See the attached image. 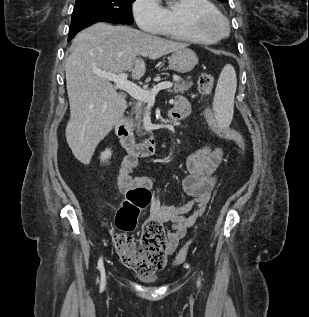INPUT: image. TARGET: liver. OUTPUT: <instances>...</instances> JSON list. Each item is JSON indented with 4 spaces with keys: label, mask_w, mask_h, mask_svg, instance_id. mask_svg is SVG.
<instances>
[{
    "label": "liver",
    "mask_w": 309,
    "mask_h": 317,
    "mask_svg": "<svg viewBox=\"0 0 309 317\" xmlns=\"http://www.w3.org/2000/svg\"><path fill=\"white\" fill-rule=\"evenodd\" d=\"M187 44L144 33L127 26L99 22L77 34L65 61L70 119L65 135L74 156L89 164L98 143L122 118L127 102L111 82L95 71L131 72L141 79L142 57L155 60Z\"/></svg>",
    "instance_id": "obj_1"
}]
</instances>
